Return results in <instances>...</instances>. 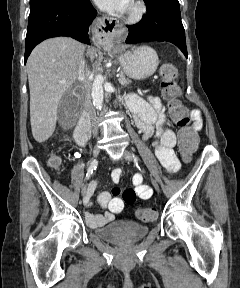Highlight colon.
Segmentation results:
<instances>
[{
    "label": "colon",
    "mask_w": 240,
    "mask_h": 288,
    "mask_svg": "<svg viewBox=\"0 0 240 288\" xmlns=\"http://www.w3.org/2000/svg\"><path fill=\"white\" fill-rule=\"evenodd\" d=\"M179 73L173 65H163L160 71V80L163 98L168 105L171 120L178 127L179 148L184 159L189 160L197 146V134L190 125V118L187 108L179 100V88L177 81ZM49 165L58 169L61 160L56 155H51ZM123 199L127 204L133 205L136 201V192L133 189H126L123 192ZM135 215L142 221H152L156 218L155 210L145 207H135Z\"/></svg>",
    "instance_id": "colon-1"
}]
</instances>
